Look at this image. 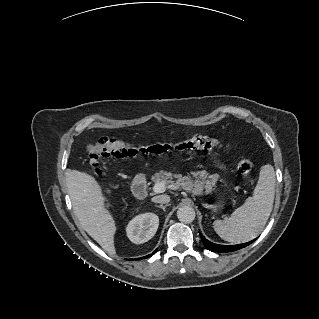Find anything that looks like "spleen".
<instances>
[{"instance_id": "3e777b00", "label": "spleen", "mask_w": 319, "mask_h": 319, "mask_svg": "<svg viewBox=\"0 0 319 319\" xmlns=\"http://www.w3.org/2000/svg\"><path fill=\"white\" fill-rule=\"evenodd\" d=\"M276 187L272 165L261 167L259 180L252 197L237 208L230 217L214 221L216 233L232 243H244L254 239L264 228L273 208Z\"/></svg>"}]
</instances>
